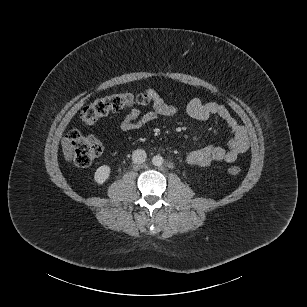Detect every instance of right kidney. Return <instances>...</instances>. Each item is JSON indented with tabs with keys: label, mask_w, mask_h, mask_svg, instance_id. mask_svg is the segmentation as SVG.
<instances>
[{
	"label": "right kidney",
	"mask_w": 307,
	"mask_h": 307,
	"mask_svg": "<svg viewBox=\"0 0 307 307\" xmlns=\"http://www.w3.org/2000/svg\"><path fill=\"white\" fill-rule=\"evenodd\" d=\"M111 167L102 165L98 167L94 173V182L97 186L104 185L110 178Z\"/></svg>",
	"instance_id": "right-kidney-1"
}]
</instances>
